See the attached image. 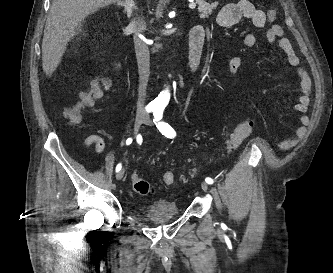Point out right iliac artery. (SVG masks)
Here are the masks:
<instances>
[{
    "label": "right iliac artery",
    "mask_w": 333,
    "mask_h": 273,
    "mask_svg": "<svg viewBox=\"0 0 333 273\" xmlns=\"http://www.w3.org/2000/svg\"><path fill=\"white\" fill-rule=\"evenodd\" d=\"M154 110V108L153 107H151V106H147L146 107V112H152ZM132 143V138H128L127 140H126V144L127 145H130ZM121 168H122V165L119 163L117 166H116V172H119L120 170H121Z\"/></svg>",
    "instance_id": "right-iliac-artery-1"
}]
</instances>
